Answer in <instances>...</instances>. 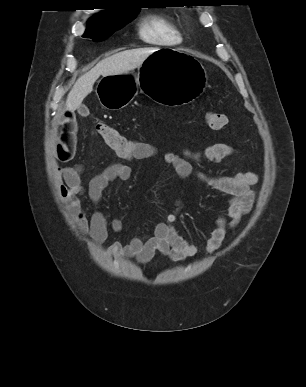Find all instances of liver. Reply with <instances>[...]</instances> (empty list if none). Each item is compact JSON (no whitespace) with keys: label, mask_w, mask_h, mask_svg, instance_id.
Returning a JSON list of instances; mask_svg holds the SVG:
<instances>
[{"label":"liver","mask_w":306,"mask_h":387,"mask_svg":"<svg viewBox=\"0 0 306 387\" xmlns=\"http://www.w3.org/2000/svg\"><path fill=\"white\" fill-rule=\"evenodd\" d=\"M158 49L140 48L116 53L101 60L90 71L79 77L66 99V109L75 111L84 98L93 90L95 81L102 76L120 75L139 67L143 61Z\"/></svg>","instance_id":"6515ba94"}]
</instances>
